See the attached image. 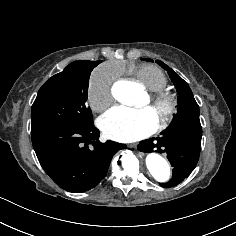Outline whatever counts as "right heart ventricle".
<instances>
[{
  "label": "right heart ventricle",
  "mask_w": 236,
  "mask_h": 236,
  "mask_svg": "<svg viewBox=\"0 0 236 236\" xmlns=\"http://www.w3.org/2000/svg\"><path fill=\"white\" fill-rule=\"evenodd\" d=\"M129 73L132 81L141 84L150 93H156L167 87L168 81L165 74L158 68L151 65L123 66L118 75Z\"/></svg>",
  "instance_id": "right-heart-ventricle-1"
}]
</instances>
